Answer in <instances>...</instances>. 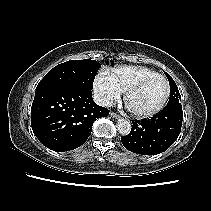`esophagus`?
Listing matches in <instances>:
<instances>
[{"mask_svg":"<svg viewBox=\"0 0 211 211\" xmlns=\"http://www.w3.org/2000/svg\"><path fill=\"white\" fill-rule=\"evenodd\" d=\"M110 116L114 119L120 118V116L118 114H116L115 112H110Z\"/></svg>","mask_w":211,"mask_h":211,"instance_id":"esophagus-1","label":"esophagus"}]
</instances>
